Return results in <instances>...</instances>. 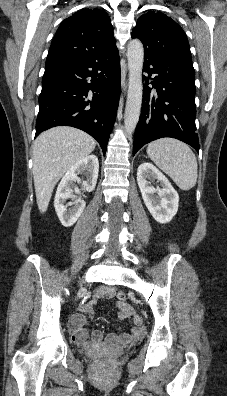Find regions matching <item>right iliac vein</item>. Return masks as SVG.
Wrapping results in <instances>:
<instances>
[{
	"label": "right iliac vein",
	"mask_w": 227,
	"mask_h": 396,
	"mask_svg": "<svg viewBox=\"0 0 227 396\" xmlns=\"http://www.w3.org/2000/svg\"><path fill=\"white\" fill-rule=\"evenodd\" d=\"M78 296H81V292H79Z\"/></svg>",
	"instance_id": "63e3f726"
}]
</instances>
